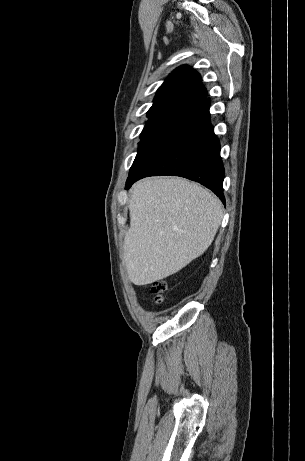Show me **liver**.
<instances>
[{"label":"liver","instance_id":"liver-1","mask_svg":"<svg viewBox=\"0 0 305 461\" xmlns=\"http://www.w3.org/2000/svg\"><path fill=\"white\" fill-rule=\"evenodd\" d=\"M124 262L130 281L147 285L180 271L211 245L222 204L182 178L152 177L131 190Z\"/></svg>","mask_w":305,"mask_h":461}]
</instances>
